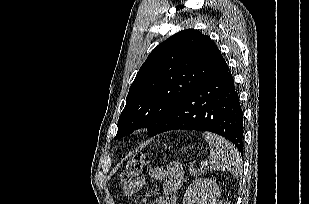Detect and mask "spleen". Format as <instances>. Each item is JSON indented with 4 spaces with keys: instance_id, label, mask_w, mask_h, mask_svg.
Wrapping results in <instances>:
<instances>
[{
    "instance_id": "spleen-1",
    "label": "spleen",
    "mask_w": 309,
    "mask_h": 204,
    "mask_svg": "<svg viewBox=\"0 0 309 204\" xmlns=\"http://www.w3.org/2000/svg\"><path fill=\"white\" fill-rule=\"evenodd\" d=\"M204 137L210 146L209 165L213 170L229 171L239 178L242 173V159L237 149L226 139L205 132Z\"/></svg>"
}]
</instances>
